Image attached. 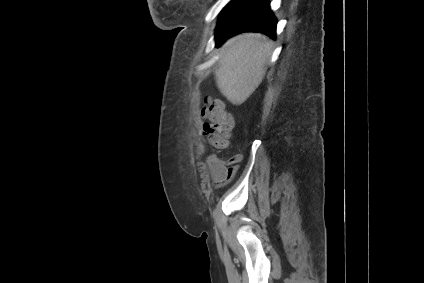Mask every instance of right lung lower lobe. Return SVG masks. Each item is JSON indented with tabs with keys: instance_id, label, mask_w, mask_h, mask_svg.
<instances>
[{
	"instance_id": "1",
	"label": "right lung lower lobe",
	"mask_w": 424,
	"mask_h": 283,
	"mask_svg": "<svg viewBox=\"0 0 424 283\" xmlns=\"http://www.w3.org/2000/svg\"><path fill=\"white\" fill-rule=\"evenodd\" d=\"M276 22L266 0H239L222 11L216 28V46L241 32H260L275 39Z\"/></svg>"
}]
</instances>
